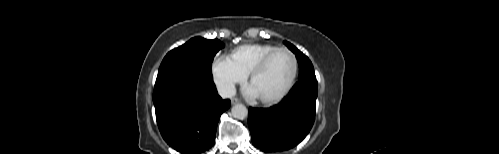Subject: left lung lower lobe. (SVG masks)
<instances>
[{
	"label": "left lung lower lobe",
	"mask_w": 499,
	"mask_h": 154,
	"mask_svg": "<svg viewBox=\"0 0 499 154\" xmlns=\"http://www.w3.org/2000/svg\"><path fill=\"white\" fill-rule=\"evenodd\" d=\"M317 92L316 79L303 78L278 105L250 108L253 145L264 152H278L299 144L314 124Z\"/></svg>",
	"instance_id": "obj_1"
}]
</instances>
